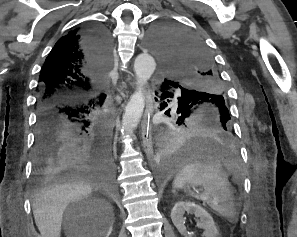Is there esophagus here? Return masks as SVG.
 Here are the masks:
<instances>
[{
	"label": "esophagus",
	"instance_id": "34e87169",
	"mask_svg": "<svg viewBox=\"0 0 297 237\" xmlns=\"http://www.w3.org/2000/svg\"><path fill=\"white\" fill-rule=\"evenodd\" d=\"M151 115H152V110L149 107L146 108L145 113L143 115L142 123H141L142 146H143V150L145 151V153L149 158L153 155Z\"/></svg>",
	"mask_w": 297,
	"mask_h": 237
}]
</instances>
